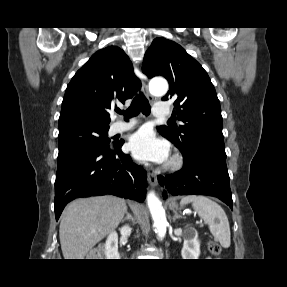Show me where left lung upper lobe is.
Wrapping results in <instances>:
<instances>
[{"label":"left lung upper lobe","instance_id":"1","mask_svg":"<svg viewBox=\"0 0 287 287\" xmlns=\"http://www.w3.org/2000/svg\"><path fill=\"white\" fill-rule=\"evenodd\" d=\"M142 70L149 78L160 75L168 80L170 89L162 100H172L174 116L184 122L162 126L159 132L189 161L204 156L226 162L220 101L203 67L177 43L156 38Z\"/></svg>","mask_w":287,"mask_h":287}]
</instances>
